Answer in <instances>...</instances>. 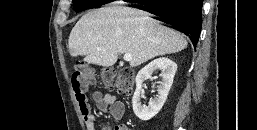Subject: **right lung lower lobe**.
<instances>
[{
    "label": "right lung lower lobe",
    "instance_id": "98d812e1",
    "mask_svg": "<svg viewBox=\"0 0 257 130\" xmlns=\"http://www.w3.org/2000/svg\"><path fill=\"white\" fill-rule=\"evenodd\" d=\"M202 5L203 0H165L148 5L151 10L146 11L186 34L196 47L202 27Z\"/></svg>",
    "mask_w": 257,
    "mask_h": 130
}]
</instances>
